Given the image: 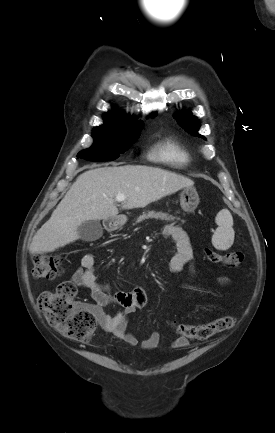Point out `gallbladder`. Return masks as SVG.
I'll return each mask as SVG.
<instances>
[{
  "mask_svg": "<svg viewBox=\"0 0 275 433\" xmlns=\"http://www.w3.org/2000/svg\"><path fill=\"white\" fill-rule=\"evenodd\" d=\"M80 239L85 242L98 240L103 234V228L99 221L92 220L82 223L78 229Z\"/></svg>",
  "mask_w": 275,
  "mask_h": 433,
  "instance_id": "gallbladder-1",
  "label": "gallbladder"
}]
</instances>
